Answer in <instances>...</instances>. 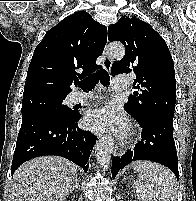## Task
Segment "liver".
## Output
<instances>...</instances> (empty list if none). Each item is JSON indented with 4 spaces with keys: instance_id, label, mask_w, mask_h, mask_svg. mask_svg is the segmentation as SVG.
<instances>
[{
    "instance_id": "1",
    "label": "liver",
    "mask_w": 196,
    "mask_h": 201,
    "mask_svg": "<svg viewBox=\"0 0 196 201\" xmlns=\"http://www.w3.org/2000/svg\"><path fill=\"white\" fill-rule=\"evenodd\" d=\"M77 166L58 156H40L13 175V201H63L75 182Z\"/></svg>"
}]
</instances>
